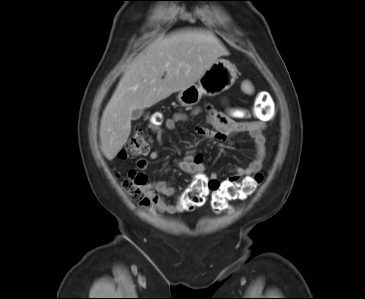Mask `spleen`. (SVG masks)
<instances>
[{"label":"spleen","instance_id":"3e777b00","mask_svg":"<svg viewBox=\"0 0 365 299\" xmlns=\"http://www.w3.org/2000/svg\"><path fill=\"white\" fill-rule=\"evenodd\" d=\"M244 89H245V91H246L247 93H249V94H251V93L253 92V88H252V86H251L250 84H248V83H245V85H244Z\"/></svg>","mask_w":365,"mask_h":299}]
</instances>
